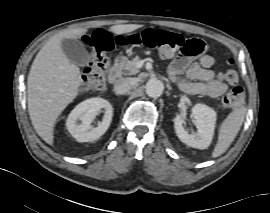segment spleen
<instances>
[{
    "mask_svg": "<svg viewBox=\"0 0 270 213\" xmlns=\"http://www.w3.org/2000/svg\"><path fill=\"white\" fill-rule=\"evenodd\" d=\"M245 114V109H239L231 112L222 122L219 128L218 141L212 152L213 158L219 157L229 148L242 126Z\"/></svg>",
    "mask_w": 270,
    "mask_h": 213,
    "instance_id": "obj_1",
    "label": "spleen"
}]
</instances>
